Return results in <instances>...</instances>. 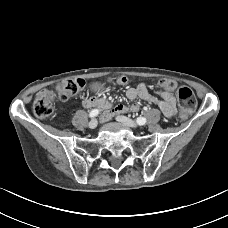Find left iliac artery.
Instances as JSON below:
<instances>
[{
  "label": "left iliac artery",
  "instance_id": "left-iliac-artery-1",
  "mask_svg": "<svg viewBox=\"0 0 228 228\" xmlns=\"http://www.w3.org/2000/svg\"><path fill=\"white\" fill-rule=\"evenodd\" d=\"M136 122H137V124H139V125H145L146 122H147V120H146V118H144V117H138V118L136 119Z\"/></svg>",
  "mask_w": 228,
  "mask_h": 228
}]
</instances>
